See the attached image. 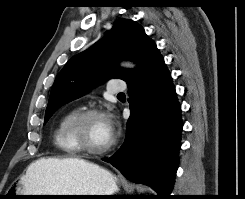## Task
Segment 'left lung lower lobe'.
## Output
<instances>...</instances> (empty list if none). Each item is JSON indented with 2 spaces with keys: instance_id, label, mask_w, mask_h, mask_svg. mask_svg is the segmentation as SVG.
Returning a JSON list of instances; mask_svg holds the SVG:
<instances>
[{
  "instance_id": "left-lung-lower-lobe-1",
  "label": "left lung lower lobe",
  "mask_w": 245,
  "mask_h": 199,
  "mask_svg": "<svg viewBox=\"0 0 245 199\" xmlns=\"http://www.w3.org/2000/svg\"><path fill=\"white\" fill-rule=\"evenodd\" d=\"M131 115L124 144L110 158L127 179L149 185L168 199L178 168L182 120L180 105L159 51L141 75L127 82Z\"/></svg>"
}]
</instances>
